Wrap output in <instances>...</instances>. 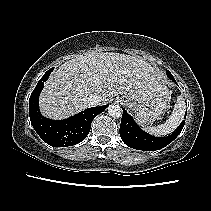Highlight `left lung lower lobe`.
<instances>
[{
    "mask_svg": "<svg viewBox=\"0 0 211 211\" xmlns=\"http://www.w3.org/2000/svg\"><path fill=\"white\" fill-rule=\"evenodd\" d=\"M171 80L175 81L173 76L171 77ZM122 109L123 114L120 125V137L126 145L137 150L156 151L164 148L181 133L185 124V122H183L172 135L159 138L144 132L135 123L133 117L129 115L124 108Z\"/></svg>",
    "mask_w": 211,
    "mask_h": 211,
    "instance_id": "obj_1",
    "label": "left lung lower lobe"
}]
</instances>
